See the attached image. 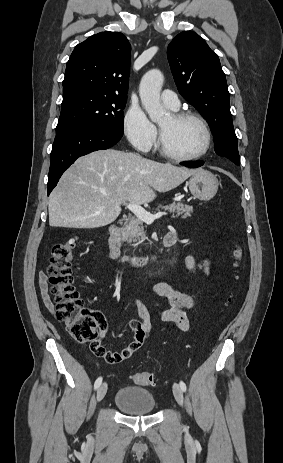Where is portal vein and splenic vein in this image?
<instances>
[{
	"mask_svg": "<svg viewBox=\"0 0 283 463\" xmlns=\"http://www.w3.org/2000/svg\"><path fill=\"white\" fill-rule=\"evenodd\" d=\"M127 208L133 212L139 219L143 220L147 224H151L155 219L160 218L163 215H166V212H158L157 214H151L147 212L139 204L129 203L125 204Z\"/></svg>",
	"mask_w": 283,
	"mask_h": 463,
	"instance_id": "18ae733b",
	"label": "portal vein and splenic vein"
}]
</instances>
